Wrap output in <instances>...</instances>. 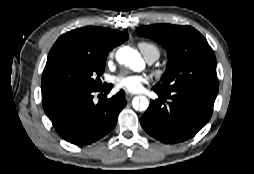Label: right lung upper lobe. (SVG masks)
Listing matches in <instances>:
<instances>
[{
	"mask_svg": "<svg viewBox=\"0 0 254 174\" xmlns=\"http://www.w3.org/2000/svg\"><path fill=\"white\" fill-rule=\"evenodd\" d=\"M127 38V32L88 26L63 34L52 49L61 45H70L97 57H107L112 48L122 44Z\"/></svg>",
	"mask_w": 254,
	"mask_h": 174,
	"instance_id": "cb5924a9",
	"label": "right lung upper lobe"
}]
</instances>
